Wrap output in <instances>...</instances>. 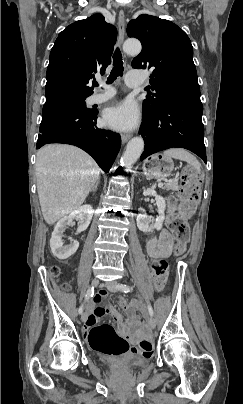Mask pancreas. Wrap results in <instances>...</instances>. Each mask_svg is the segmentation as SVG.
Returning <instances> with one entry per match:
<instances>
[{
	"instance_id": "pancreas-1",
	"label": "pancreas",
	"mask_w": 243,
	"mask_h": 404,
	"mask_svg": "<svg viewBox=\"0 0 243 404\" xmlns=\"http://www.w3.org/2000/svg\"><path fill=\"white\" fill-rule=\"evenodd\" d=\"M162 190H172V192H176V190H179L178 188V182H168V184H165L164 188Z\"/></svg>"
}]
</instances>
